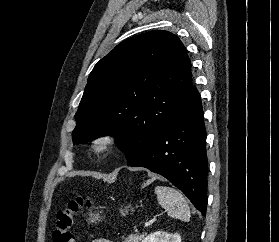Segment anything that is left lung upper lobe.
<instances>
[{
    "label": "left lung upper lobe",
    "mask_w": 279,
    "mask_h": 242,
    "mask_svg": "<svg viewBox=\"0 0 279 242\" xmlns=\"http://www.w3.org/2000/svg\"><path fill=\"white\" fill-rule=\"evenodd\" d=\"M191 62L180 39L154 30L126 39L89 75L74 143L112 135L128 161L142 154L184 102Z\"/></svg>",
    "instance_id": "1"
}]
</instances>
